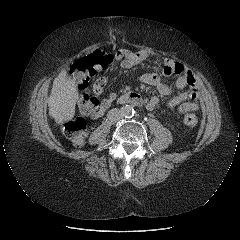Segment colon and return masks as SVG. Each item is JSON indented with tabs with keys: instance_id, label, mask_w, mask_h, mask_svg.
Segmentation results:
<instances>
[{
	"instance_id": "obj_1",
	"label": "colon",
	"mask_w": 240,
	"mask_h": 240,
	"mask_svg": "<svg viewBox=\"0 0 240 240\" xmlns=\"http://www.w3.org/2000/svg\"><path fill=\"white\" fill-rule=\"evenodd\" d=\"M113 60V57L100 50H95L91 54L76 60L71 66V75L76 85L85 89L95 74L105 69ZM79 109L84 115H94L99 109L98 100L88 94H82L79 100ZM184 122L189 126H195L197 117L192 113H187ZM65 135L75 145L84 144L87 137V124L84 118H76L65 125Z\"/></svg>"
}]
</instances>
